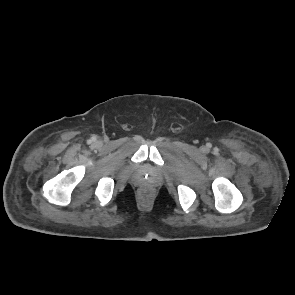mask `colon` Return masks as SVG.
Returning a JSON list of instances; mask_svg holds the SVG:
<instances>
[{
    "instance_id": "obj_1",
    "label": "colon",
    "mask_w": 295,
    "mask_h": 295,
    "mask_svg": "<svg viewBox=\"0 0 295 295\" xmlns=\"http://www.w3.org/2000/svg\"><path fill=\"white\" fill-rule=\"evenodd\" d=\"M151 194V189L148 187H144L141 189V196L144 198H148Z\"/></svg>"
}]
</instances>
